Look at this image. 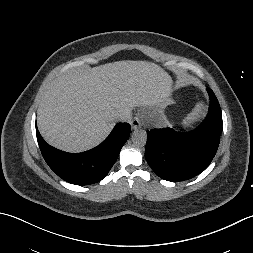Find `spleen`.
Segmentation results:
<instances>
[{
    "label": "spleen",
    "instance_id": "spleen-1",
    "mask_svg": "<svg viewBox=\"0 0 253 253\" xmlns=\"http://www.w3.org/2000/svg\"><path fill=\"white\" fill-rule=\"evenodd\" d=\"M205 111V106L202 103H199L196 105V107L192 110L191 113L185 117L182 124L184 127H190L194 122L199 120L203 115Z\"/></svg>",
    "mask_w": 253,
    "mask_h": 253
}]
</instances>
